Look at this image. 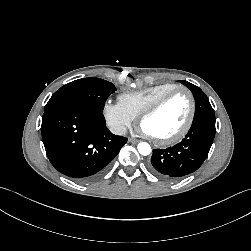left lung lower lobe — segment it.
Masks as SVG:
<instances>
[{"label":"left lung lower lobe","mask_w":251,"mask_h":251,"mask_svg":"<svg viewBox=\"0 0 251 251\" xmlns=\"http://www.w3.org/2000/svg\"><path fill=\"white\" fill-rule=\"evenodd\" d=\"M214 136L215 118L203 117L193 121L180 143L153 150L150 170L167 180H176L196 171L206 159Z\"/></svg>","instance_id":"1"}]
</instances>
